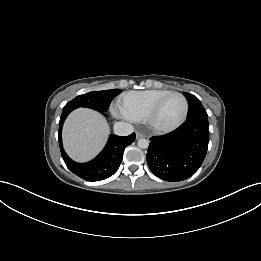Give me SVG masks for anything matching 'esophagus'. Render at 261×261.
Instances as JSON below:
<instances>
[{"mask_svg":"<svg viewBox=\"0 0 261 261\" xmlns=\"http://www.w3.org/2000/svg\"><path fill=\"white\" fill-rule=\"evenodd\" d=\"M143 137H145V136L142 133L136 132V139L137 140L140 139V138H143Z\"/></svg>","mask_w":261,"mask_h":261,"instance_id":"esophagus-1","label":"esophagus"}]
</instances>
